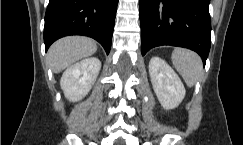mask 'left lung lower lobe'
<instances>
[{
	"mask_svg": "<svg viewBox=\"0 0 243 145\" xmlns=\"http://www.w3.org/2000/svg\"><path fill=\"white\" fill-rule=\"evenodd\" d=\"M210 0H140L142 55L160 45L189 48L205 64L211 45Z\"/></svg>",
	"mask_w": 243,
	"mask_h": 145,
	"instance_id": "obj_1",
	"label": "left lung lower lobe"
}]
</instances>
